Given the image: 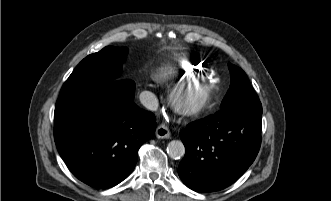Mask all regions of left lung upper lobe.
<instances>
[{
    "label": "left lung upper lobe",
    "instance_id": "left-lung-upper-lobe-1",
    "mask_svg": "<svg viewBox=\"0 0 331 201\" xmlns=\"http://www.w3.org/2000/svg\"><path fill=\"white\" fill-rule=\"evenodd\" d=\"M229 70L231 72V84L221 103V108L259 101L245 72L232 64H229Z\"/></svg>",
    "mask_w": 331,
    "mask_h": 201
}]
</instances>
